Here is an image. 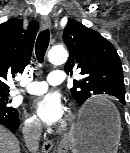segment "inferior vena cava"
Masks as SVG:
<instances>
[{
    "label": "inferior vena cava",
    "mask_w": 130,
    "mask_h": 153,
    "mask_svg": "<svg viewBox=\"0 0 130 153\" xmlns=\"http://www.w3.org/2000/svg\"><path fill=\"white\" fill-rule=\"evenodd\" d=\"M25 143L28 149L35 153L38 150L39 140L42 133L41 124L39 121L26 124L23 129Z\"/></svg>",
    "instance_id": "602c4592"
}]
</instances>
